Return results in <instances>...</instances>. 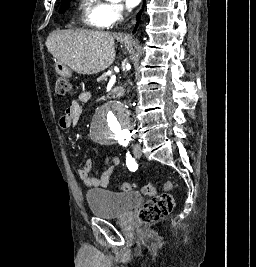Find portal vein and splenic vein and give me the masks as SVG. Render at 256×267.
<instances>
[{"label":"portal vein and splenic vein","mask_w":256,"mask_h":267,"mask_svg":"<svg viewBox=\"0 0 256 267\" xmlns=\"http://www.w3.org/2000/svg\"><path fill=\"white\" fill-rule=\"evenodd\" d=\"M112 72L110 69H107L106 70V73H105V76H111Z\"/></svg>","instance_id":"1"}]
</instances>
